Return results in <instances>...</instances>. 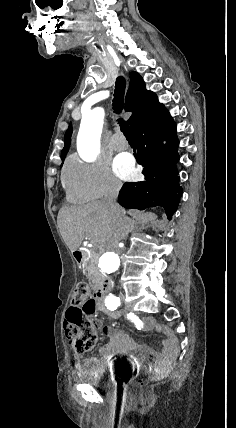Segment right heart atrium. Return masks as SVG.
I'll use <instances>...</instances> for the list:
<instances>
[{"label": "right heart atrium", "instance_id": "1", "mask_svg": "<svg viewBox=\"0 0 236 428\" xmlns=\"http://www.w3.org/2000/svg\"><path fill=\"white\" fill-rule=\"evenodd\" d=\"M63 188L70 201L83 206L84 200L118 198L123 184L103 160L73 158L65 168Z\"/></svg>", "mask_w": 236, "mask_h": 428}]
</instances>
